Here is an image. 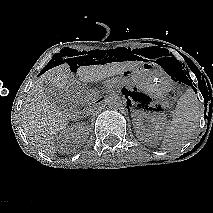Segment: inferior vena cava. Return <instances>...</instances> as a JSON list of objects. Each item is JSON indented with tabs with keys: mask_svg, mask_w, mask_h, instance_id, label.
Returning a JSON list of instances; mask_svg holds the SVG:
<instances>
[{
	"mask_svg": "<svg viewBox=\"0 0 213 213\" xmlns=\"http://www.w3.org/2000/svg\"><path fill=\"white\" fill-rule=\"evenodd\" d=\"M95 111H94V108H92V107H88V108H86V110L84 111V114L85 115H91L92 113H94Z\"/></svg>",
	"mask_w": 213,
	"mask_h": 213,
	"instance_id": "1",
	"label": "inferior vena cava"
}]
</instances>
